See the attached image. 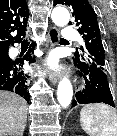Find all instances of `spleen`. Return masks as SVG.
<instances>
[{
    "instance_id": "spleen-1",
    "label": "spleen",
    "mask_w": 117,
    "mask_h": 136,
    "mask_svg": "<svg viewBox=\"0 0 117 136\" xmlns=\"http://www.w3.org/2000/svg\"><path fill=\"white\" fill-rule=\"evenodd\" d=\"M80 123L90 136H117V114L108 105H85L80 112Z\"/></svg>"
}]
</instances>
